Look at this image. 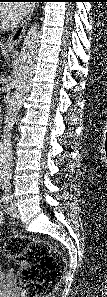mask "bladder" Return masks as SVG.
Returning a JSON list of instances; mask_svg holds the SVG:
<instances>
[{
    "instance_id": "1",
    "label": "bladder",
    "mask_w": 107,
    "mask_h": 297,
    "mask_svg": "<svg viewBox=\"0 0 107 297\" xmlns=\"http://www.w3.org/2000/svg\"><path fill=\"white\" fill-rule=\"evenodd\" d=\"M0 277H1V280H3V279H4V273H3V271H2V270H0Z\"/></svg>"
}]
</instances>
